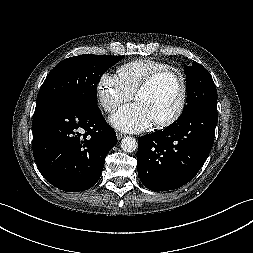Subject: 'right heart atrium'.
Here are the masks:
<instances>
[{
  "mask_svg": "<svg viewBox=\"0 0 253 253\" xmlns=\"http://www.w3.org/2000/svg\"><path fill=\"white\" fill-rule=\"evenodd\" d=\"M97 94L106 112L116 111L123 103L132 99L133 94L121 83L117 76L105 73L97 83Z\"/></svg>",
  "mask_w": 253,
  "mask_h": 253,
  "instance_id": "obj_1",
  "label": "right heart atrium"
}]
</instances>
